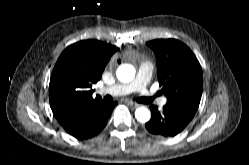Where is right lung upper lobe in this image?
I'll use <instances>...</instances> for the list:
<instances>
[{
  "instance_id": "obj_1",
  "label": "right lung upper lobe",
  "mask_w": 249,
  "mask_h": 165,
  "mask_svg": "<svg viewBox=\"0 0 249 165\" xmlns=\"http://www.w3.org/2000/svg\"><path fill=\"white\" fill-rule=\"evenodd\" d=\"M117 50L111 44L83 40L62 52L49 84L50 107L60 124L102 101L100 97H92L91 88Z\"/></svg>"
}]
</instances>
